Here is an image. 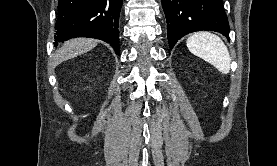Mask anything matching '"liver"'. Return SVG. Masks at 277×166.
<instances>
[{
  "label": "liver",
  "mask_w": 277,
  "mask_h": 166,
  "mask_svg": "<svg viewBox=\"0 0 277 166\" xmlns=\"http://www.w3.org/2000/svg\"><path fill=\"white\" fill-rule=\"evenodd\" d=\"M97 44V40L88 38H75L66 41L56 52L53 58V65L56 66L63 61L82 55L92 50Z\"/></svg>",
  "instance_id": "liver-1"
}]
</instances>
